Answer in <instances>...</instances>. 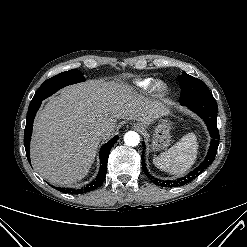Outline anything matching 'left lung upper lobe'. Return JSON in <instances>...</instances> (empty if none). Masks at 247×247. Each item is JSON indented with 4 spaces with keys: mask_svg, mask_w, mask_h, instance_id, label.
<instances>
[{
    "mask_svg": "<svg viewBox=\"0 0 247 247\" xmlns=\"http://www.w3.org/2000/svg\"><path fill=\"white\" fill-rule=\"evenodd\" d=\"M178 78L182 89L180 95L181 103L213 97L206 84L200 79L185 72Z\"/></svg>",
    "mask_w": 247,
    "mask_h": 247,
    "instance_id": "left-lung-upper-lobe-1",
    "label": "left lung upper lobe"
}]
</instances>
